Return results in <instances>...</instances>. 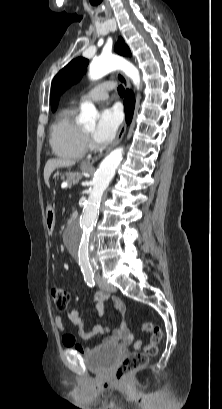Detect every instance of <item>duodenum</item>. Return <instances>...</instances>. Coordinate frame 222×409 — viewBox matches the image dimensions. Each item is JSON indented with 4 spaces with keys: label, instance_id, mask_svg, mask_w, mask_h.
<instances>
[{
    "label": "duodenum",
    "instance_id": "1",
    "mask_svg": "<svg viewBox=\"0 0 222 409\" xmlns=\"http://www.w3.org/2000/svg\"><path fill=\"white\" fill-rule=\"evenodd\" d=\"M78 216H79V214H78L77 211L72 212L71 215H70V221L71 222L76 221L78 219Z\"/></svg>",
    "mask_w": 222,
    "mask_h": 409
}]
</instances>
